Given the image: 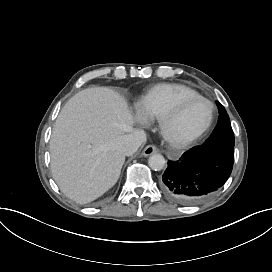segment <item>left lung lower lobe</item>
<instances>
[{
  "label": "left lung lower lobe",
  "mask_w": 272,
  "mask_h": 272,
  "mask_svg": "<svg viewBox=\"0 0 272 272\" xmlns=\"http://www.w3.org/2000/svg\"><path fill=\"white\" fill-rule=\"evenodd\" d=\"M233 162L234 148L216 145L194 147L176 162H168L160 188L177 204L198 203L227 181Z\"/></svg>",
  "instance_id": "0a47b994"
}]
</instances>
